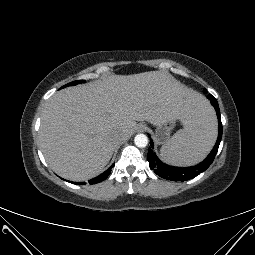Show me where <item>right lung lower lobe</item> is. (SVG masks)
Segmentation results:
<instances>
[{
  "mask_svg": "<svg viewBox=\"0 0 255 255\" xmlns=\"http://www.w3.org/2000/svg\"><path fill=\"white\" fill-rule=\"evenodd\" d=\"M113 167V165L107 169L105 172H103L102 174H100L99 176L89 180V183L90 184H95V183H99L103 180H105L107 178V176L111 173V168ZM75 184H81V185H84L86 184L85 182H75Z\"/></svg>",
  "mask_w": 255,
  "mask_h": 255,
  "instance_id": "obj_1",
  "label": "right lung lower lobe"
}]
</instances>
